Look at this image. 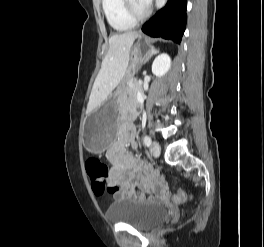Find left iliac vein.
I'll list each match as a JSON object with an SVG mask.
<instances>
[{"label": "left iliac vein", "instance_id": "1", "mask_svg": "<svg viewBox=\"0 0 264 247\" xmlns=\"http://www.w3.org/2000/svg\"><path fill=\"white\" fill-rule=\"evenodd\" d=\"M150 152L154 157H158L161 152V148L158 142L154 141L150 146Z\"/></svg>", "mask_w": 264, "mask_h": 247}]
</instances>
